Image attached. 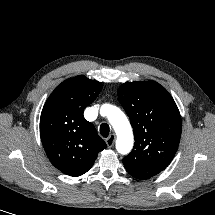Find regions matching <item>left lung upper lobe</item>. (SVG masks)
I'll use <instances>...</instances> for the list:
<instances>
[{"label": "left lung upper lobe", "instance_id": "5c2ea615", "mask_svg": "<svg viewBox=\"0 0 215 215\" xmlns=\"http://www.w3.org/2000/svg\"><path fill=\"white\" fill-rule=\"evenodd\" d=\"M118 99L130 118L135 145L123 159L127 172L146 180L172 161L181 137V116L167 90L155 81L127 82Z\"/></svg>", "mask_w": 215, "mask_h": 215}]
</instances>
